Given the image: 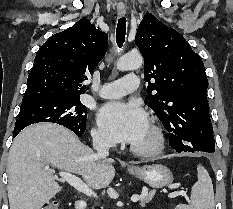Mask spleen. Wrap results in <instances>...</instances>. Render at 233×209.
I'll list each match as a JSON object with an SVG mask.
<instances>
[{
	"label": "spleen",
	"mask_w": 233,
	"mask_h": 209,
	"mask_svg": "<svg viewBox=\"0 0 233 209\" xmlns=\"http://www.w3.org/2000/svg\"><path fill=\"white\" fill-rule=\"evenodd\" d=\"M198 180L191 190V201L189 205L179 204L175 209H214V191L212 180L207 170L197 166Z\"/></svg>",
	"instance_id": "obj_1"
}]
</instances>
